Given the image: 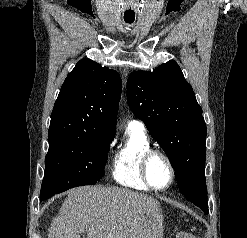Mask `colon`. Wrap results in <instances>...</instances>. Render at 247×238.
Returning a JSON list of instances; mask_svg holds the SVG:
<instances>
[{
	"label": "colon",
	"mask_w": 247,
	"mask_h": 238,
	"mask_svg": "<svg viewBox=\"0 0 247 238\" xmlns=\"http://www.w3.org/2000/svg\"><path fill=\"white\" fill-rule=\"evenodd\" d=\"M176 238H197V237H195L194 235L188 232H179Z\"/></svg>",
	"instance_id": "1"
}]
</instances>
